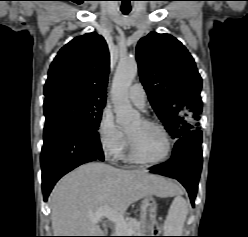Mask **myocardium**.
I'll return each mask as SVG.
<instances>
[{"label":"myocardium","mask_w":248,"mask_h":237,"mask_svg":"<svg viewBox=\"0 0 248 237\" xmlns=\"http://www.w3.org/2000/svg\"><path fill=\"white\" fill-rule=\"evenodd\" d=\"M141 122L147 126H151L156 128L157 130H159L161 132V134L164 136L165 140H166V144H167V148H166V152L164 153V155L158 159H147L144 158L136 149L132 139L130 138V136L127 134V142H128V147H129V153L130 156L133 160H135L136 162L142 163V164H147V165H156V164H160L162 162H165L171 155L172 151H173V143H172V139L170 134L168 133V131L166 130V128L153 120L147 119V118H142Z\"/></svg>","instance_id":"myocardium-1"}]
</instances>
